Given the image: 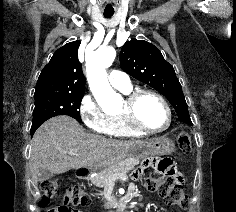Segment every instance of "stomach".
Masks as SVG:
<instances>
[{"mask_svg":"<svg viewBox=\"0 0 236 212\" xmlns=\"http://www.w3.org/2000/svg\"><path fill=\"white\" fill-rule=\"evenodd\" d=\"M173 150L174 143L170 139L166 137L153 138L148 141L142 142L140 145H137L123 156H118L106 160L103 165L95 167L93 171H104L105 169L111 167L112 165H115L116 163L126 158L137 160L139 162V160L147 159L151 156L170 154ZM87 173V169H81L77 172L78 177L86 175Z\"/></svg>","mask_w":236,"mask_h":212,"instance_id":"0dacf381","label":"stomach"}]
</instances>
